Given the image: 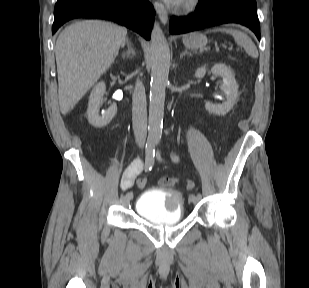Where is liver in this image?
Wrapping results in <instances>:
<instances>
[{"label":"liver","mask_w":309,"mask_h":288,"mask_svg":"<svg viewBox=\"0 0 309 288\" xmlns=\"http://www.w3.org/2000/svg\"><path fill=\"white\" fill-rule=\"evenodd\" d=\"M126 35V28L98 20L79 21L61 32L55 56L63 115L71 111L109 69L125 44Z\"/></svg>","instance_id":"obj_1"}]
</instances>
